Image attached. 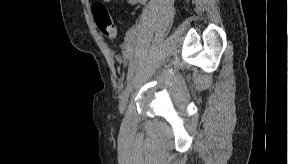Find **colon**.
<instances>
[{"instance_id":"colon-1","label":"colon","mask_w":288,"mask_h":164,"mask_svg":"<svg viewBox=\"0 0 288 164\" xmlns=\"http://www.w3.org/2000/svg\"><path fill=\"white\" fill-rule=\"evenodd\" d=\"M94 22L100 31L109 39L113 40L117 36L114 23L111 20L110 12L103 4H97L92 8Z\"/></svg>"}]
</instances>
